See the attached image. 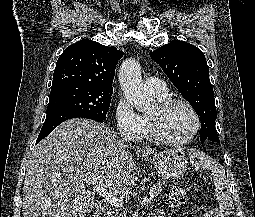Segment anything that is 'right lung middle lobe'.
I'll return each instance as SVG.
<instances>
[{
  "instance_id": "right-lung-middle-lobe-1",
  "label": "right lung middle lobe",
  "mask_w": 255,
  "mask_h": 217,
  "mask_svg": "<svg viewBox=\"0 0 255 217\" xmlns=\"http://www.w3.org/2000/svg\"><path fill=\"white\" fill-rule=\"evenodd\" d=\"M113 89H98L82 85H61L51 88L47 112L66 109L84 112L106 120Z\"/></svg>"
}]
</instances>
